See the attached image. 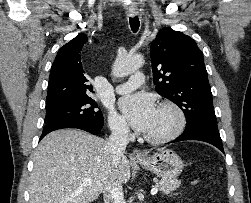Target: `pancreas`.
Returning a JSON list of instances; mask_svg holds the SVG:
<instances>
[{"mask_svg":"<svg viewBox=\"0 0 251 203\" xmlns=\"http://www.w3.org/2000/svg\"><path fill=\"white\" fill-rule=\"evenodd\" d=\"M181 185V181L177 179H162L158 183L159 190L164 194H170Z\"/></svg>","mask_w":251,"mask_h":203,"instance_id":"1","label":"pancreas"}]
</instances>
